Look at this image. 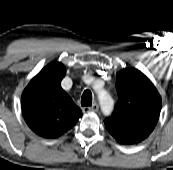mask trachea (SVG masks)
Masks as SVG:
<instances>
[{
	"label": "trachea",
	"instance_id": "1",
	"mask_svg": "<svg viewBox=\"0 0 173 170\" xmlns=\"http://www.w3.org/2000/svg\"><path fill=\"white\" fill-rule=\"evenodd\" d=\"M81 105L83 107L92 105V93L89 89H86L81 96Z\"/></svg>",
	"mask_w": 173,
	"mask_h": 170
}]
</instances>
